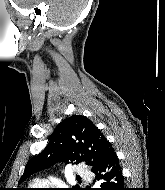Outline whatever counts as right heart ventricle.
<instances>
[{
	"instance_id": "1",
	"label": "right heart ventricle",
	"mask_w": 165,
	"mask_h": 190,
	"mask_svg": "<svg viewBox=\"0 0 165 190\" xmlns=\"http://www.w3.org/2000/svg\"><path fill=\"white\" fill-rule=\"evenodd\" d=\"M45 183H36L35 185H44Z\"/></svg>"
}]
</instances>
